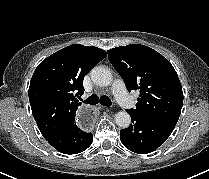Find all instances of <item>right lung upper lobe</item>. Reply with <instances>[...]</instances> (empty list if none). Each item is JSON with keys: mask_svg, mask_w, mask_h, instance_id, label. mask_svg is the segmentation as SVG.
I'll list each match as a JSON object with an SVG mask.
<instances>
[{"mask_svg": "<svg viewBox=\"0 0 209 179\" xmlns=\"http://www.w3.org/2000/svg\"><path fill=\"white\" fill-rule=\"evenodd\" d=\"M106 55V51L97 47L75 44L57 51L37 66L29 86V101L46 140L75 122L81 105L76 96L84 92V76Z\"/></svg>", "mask_w": 209, "mask_h": 179, "instance_id": "right-lung-upper-lobe-1", "label": "right lung upper lobe"}]
</instances>
